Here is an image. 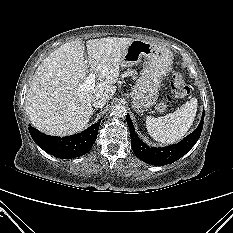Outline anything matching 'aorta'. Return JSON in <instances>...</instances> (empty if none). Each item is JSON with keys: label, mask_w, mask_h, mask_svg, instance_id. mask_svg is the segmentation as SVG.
<instances>
[{"label": "aorta", "mask_w": 233, "mask_h": 233, "mask_svg": "<svg viewBox=\"0 0 233 233\" xmlns=\"http://www.w3.org/2000/svg\"><path fill=\"white\" fill-rule=\"evenodd\" d=\"M110 114H111V116L121 118L127 114V109L122 104H115V105L111 106Z\"/></svg>", "instance_id": "762f6f07"}]
</instances>
